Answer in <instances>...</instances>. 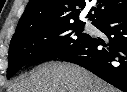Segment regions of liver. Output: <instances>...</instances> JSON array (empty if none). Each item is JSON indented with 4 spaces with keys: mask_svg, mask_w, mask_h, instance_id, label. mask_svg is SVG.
<instances>
[{
    "mask_svg": "<svg viewBox=\"0 0 127 92\" xmlns=\"http://www.w3.org/2000/svg\"><path fill=\"white\" fill-rule=\"evenodd\" d=\"M8 92H118L93 73L77 65L51 62L22 77Z\"/></svg>",
    "mask_w": 127,
    "mask_h": 92,
    "instance_id": "obj_1",
    "label": "liver"
}]
</instances>
